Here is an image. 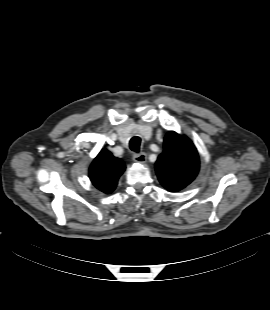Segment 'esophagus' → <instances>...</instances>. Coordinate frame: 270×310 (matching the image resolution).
Masks as SVG:
<instances>
[{
	"instance_id": "1",
	"label": "esophagus",
	"mask_w": 270,
	"mask_h": 310,
	"mask_svg": "<svg viewBox=\"0 0 270 310\" xmlns=\"http://www.w3.org/2000/svg\"><path fill=\"white\" fill-rule=\"evenodd\" d=\"M133 160L137 163H145L147 160V155L145 153L135 154Z\"/></svg>"
}]
</instances>
